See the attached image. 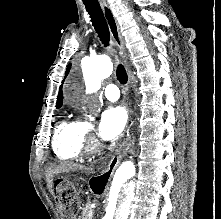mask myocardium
<instances>
[{
	"label": "myocardium",
	"instance_id": "f54148a6",
	"mask_svg": "<svg viewBox=\"0 0 221 219\" xmlns=\"http://www.w3.org/2000/svg\"><path fill=\"white\" fill-rule=\"evenodd\" d=\"M87 151L90 153L96 152L98 150V144L95 141H90L87 145Z\"/></svg>",
	"mask_w": 221,
	"mask_h": 219
}]
</instances>
